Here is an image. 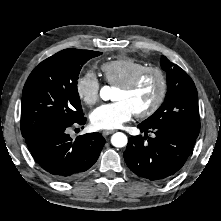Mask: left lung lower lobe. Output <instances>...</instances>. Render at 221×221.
<instances>
[{
	"mask_svg": "<svg viewBox=\"0 0 221 221\" xmlns=\"http://www.w3.org/2000/svg\"><path fill=\"white\" fill-rule=\"evenodd\" d=\"M138 128L145 133L144 137L132 136L123 154L129 169L137 176L155 182L174 176L190 156L196 138L175 128L149 127L143 123ZM149 131L154 132V138H148Z\"/></svg>",
	"mask_w": 221,
	"mask_h": 221,
	"instance_id": "left-lung-lower-lobe-1",
	"label": "left lung lower lobe"
}]
</instances>
